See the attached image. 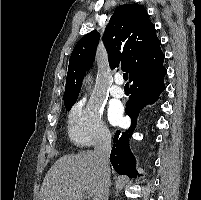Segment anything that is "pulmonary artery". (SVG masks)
I'll use <instances>...</instances> for the list:
<instances>
[{"label":"pulmonary artery","mask_w":201,"mask_h":200,"mask_svg":"<svg viewBox=\"0 0 201 200\" xmlns=\"http://www.w3.org/2000/svg\"><path fill=\"white\" fill-rule=\"evenodd\" d=\"M122 77L117 75L115 77V84L110 89V94L115 98H122L124 96V90L121 87Z\"/></svg>","instance_id":"e3ab8cb5"}]
</instances>
